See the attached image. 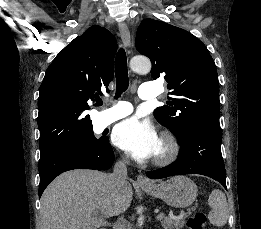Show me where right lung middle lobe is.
Masks as SVG:
<instances>
[{"instance_id":"1","label":"right lung middle lobe","mask_w":261,"mask_h":229,"mask_svg":"<svg viewBox=\"0 0 261 229\" xmlns=\"http://www.w3.org/2000/svg\"><path fill=\"white\" fill-rule=\"evenodd\" d=\"M105 142H108L107 137H101L97 139L93 131H90L88 133H85L65 144H62L60 146L54 147V148H48V149H40L41 156L45 157L48 156L54 152L61 151V150H91V149H97L104 145Z\"/></svg>"}]
</instances>
